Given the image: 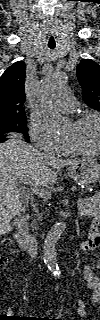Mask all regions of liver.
Listing matches in <instances>:
<instances>
[{
    "mask_svg": "<svg viewBox=\"0 0 100 320\" xmlns=\"http://www.w3.org/2000/svg\"><path fill=\"white\" fill-rule=\"evenodd\" d=\"M79 160L59 159L42 153L23 141L21 135L11 134L0 144V216L1 227L24 211L20 199L19 180L32 181L39 186L52 185L57 180L55 169Z\"/></svg>",
    "mask_w": 100,
    "mask_h": 320,
    "instance_id": "6515ba94",
    "label": "liver"
}]
</instances>
